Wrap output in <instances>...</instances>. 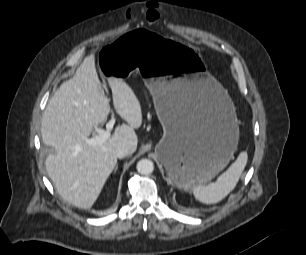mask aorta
I'll return each instance as SVG.
<instances>
[{
	"label": "aorta",
	"mask_w": 306,
	"mask_h": 255,
	"mask_svg": "<svg viewBox=\"0 0 306 255\" xmlns=\"http://www.w3.org/2000/svg\"><path fill=\"white\" fill-rule=\"evenodd\" d=\"M137 171L140 174H144V175H149L153 172L154 170V164L151 160L149 159H141L138 163H137Z\"/></svg>",
	"instance_id": "aorta-1"
}]
</instances>
